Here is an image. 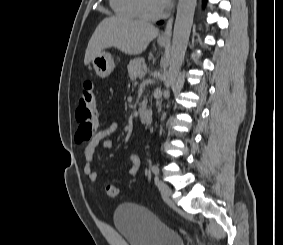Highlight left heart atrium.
Masks as SVG:
<instances>
[{
  "label": "left heart atrium",
  "mask_w": 283,
  "mask_h": 245,
  "mask_svg": "<svg viewBox=\"0 0 283 245\" xmlns=\"http://www.w3.org/2000/svg\"><path fill=\"white\" fill-rule=\"evenodd\" d=\"M171 0H159L160 4L163 6V7H166L169 3H170Z\"/></svg>",
  "instance_id": "left-heart-atrium-1"
}]
</instances>
